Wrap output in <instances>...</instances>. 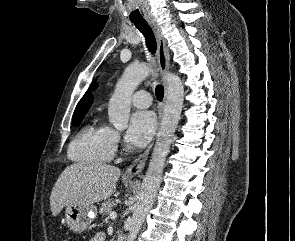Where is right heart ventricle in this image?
I'll return each mask as SVG.
<instances>
[{
    "instance_id": "obj_1",
    "label": "right heart ventricle",
    "mask_w": 295,
    "mask_h": 241,
    "mask_svg": "<svg viewBox=\"0 0 295 241\" xmlns=\"http://www.w3.org/2000/svg\"><path fill=\"white\" fill-rule=\"evenodd\" d=\"M114 154L113 129L102 124L83 127L68 150L70 159L82 164H103L109 162Z\"/></svg>"
}]
</instances>
